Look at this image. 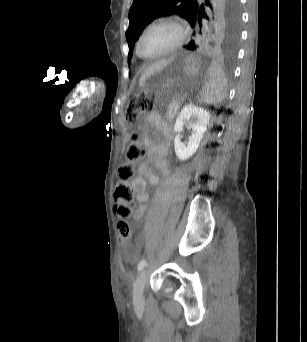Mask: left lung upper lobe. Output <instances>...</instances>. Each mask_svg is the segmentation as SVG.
<instances>
[{
    "instance_id": "1",
    "label": "left lung upper lobe",
    "mask_w": 307,
    "mask_h": 342,
    "mask_svg": "<svg viewBox=\"0 0 307 342\" xmlns=\"http://www.w3.org/2000/svg\"><path fill=\"white\" fill-rule=\"evenodd\" d=\"M210 18L199 9L197 0H133L129 10V28L126 39L129 45L130 59L134 44L142 30L155 18L165 15L178 14L185 18L192 28L200 26V41L212 45L232 55L235 53L239 39L240 9L238 0H213ZM208 19L209 24L204 32L201 30V18ZM196 35V32L193 33ZM188 50H195L197 45L191 41L185 46Z\"/></svg>"
}]
</instances>
